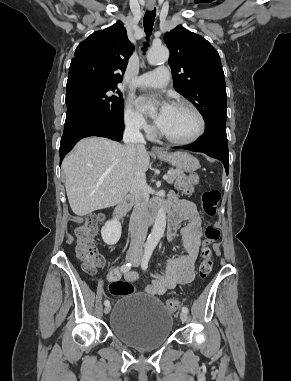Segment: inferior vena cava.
Here are the masks:
<instances>
[{
    "mask_svg": "<svg viewBox=\"0 0 291 381\" xmlns=\"http://www.w3.org/2000/svg\"><path fill=\"white\" fill-rule=\"evenodd\" d=\"M123 138L126 144H133L136 146V149L133 151L134 157H137L139 152L145 150L146 142L140 132L138 123H128L125 127ZM130 193L134 196L135 205L130 223L131 243L128 253L140 255L143 253V245L148 229L146 215L149 193L147 191L145 173L139 168L136 169Z\"/></svg>",
    "mask_w": 291,
    "mask_h": 381,
    "instance_id": "inferior-vena-cava-1",
    "label": "inferior vena cava"
}]
</instances>
